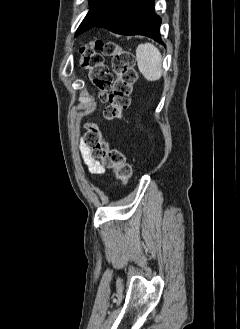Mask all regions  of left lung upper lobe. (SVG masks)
I'll return each mask as SVG.
<instances>
[{"label":"left lung upper lobe","mask_w":240,"mask_h":329,"mask_svg":"<svg viewBox=\"0 0 240 329\" xmlns=\"http://www.w3.org/2000/svg\"><path fill=\"white\" fill-rule=\"evenodd\" d=\"M121 0H89L88 14L77 29L76 36L89 30L102 20Z\"/></svg>","instance_id":"5c2ea615"}]
</instances>
